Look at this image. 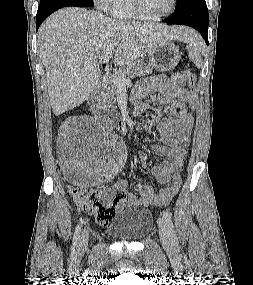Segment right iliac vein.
<instances>
[{"label": "right iliac vein", "instance_id": "right-iliac-vein-1", "mask_svg": "<svg viewBox=\"0 0 253 285\" xmlns=\"http://www.w3.org/2000/svg\"><path fill=\"white\" fill-rule=\"evenodd\" d=\"M88 245V232L86 230H84V232L82 233L80 242L78 244V252L82 253L86 250Z\"/></svg>", "mask_w": 253, "mask_h": 285}]
</instances>
